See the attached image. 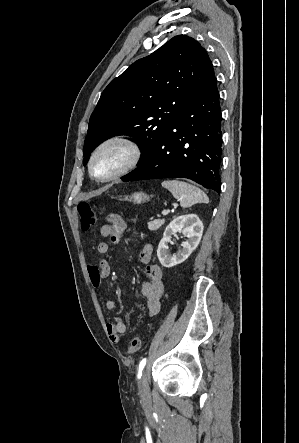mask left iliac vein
Wrapping results in <instances>:
<instances>
[{
	"instance_id": "4c4485c4",
	"label": "left iliac vein",
	"mask_w": 299,
	"mask_h": 443,
	"mask_svg": "<svg viewBox=\"0 0 299 443\" xmlns=\"http://www.w3.org/2000/svg\"><path fill=\"white\" fill-rule=\"evenodd\" d=\"M140 391L143 396L149 395V385H148V379H147V372L144 371L143 376L140 381Z\"/></svg>"
}]
</instances>
